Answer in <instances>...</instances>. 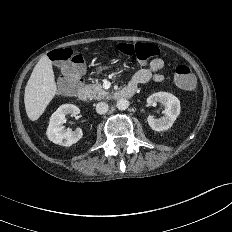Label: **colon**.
Listing matches in <instances>:
<instances>
[{
    "instance_id": "1",
    "label": "colon",
    "mask_w": 232,
    "mask_h": 232,
    "mask_svg": "<svg viewBox=\"0 0 232 232\" xmlns=\"http://www.w3.org/2000/svg\"><path fill=\"white\" fill-rule=\"evenodd\" d=\"M118 51L138 62H146L160 53L159 48L151 43H120ZM50 59L60 66L61 78L58 84L63 93H73L81 84L83 60L73 54L70 49H55L49 53ZM174 81L184 90H191L196 85V78L192 70L186 65H179L175 69Z\"/></svg>"
}]
</instances>
